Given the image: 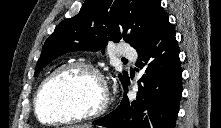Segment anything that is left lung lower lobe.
Here are the masks:
<instances>
[{"mask_svg": "<svg viewBox=\"0 0 221 128\" xmlns=\"http://www.w3.org/2000/svg\"><path fill=\"white\" fill-rule=\"evenodd\" d=\"M175 34L168 15L164 16L136 48V66L144 69L137 99L129 101L126 96L128 80L121 104L92 124L108 128H175L182 93V69Z\"/></svg>", "mask_w": 221, "mask_h": 128, "instance_id": "left-lung-lower-lobe-1", "label": "left lung lower lobe"}]
</instances>
